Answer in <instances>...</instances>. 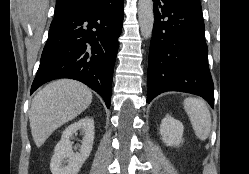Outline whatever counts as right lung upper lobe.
I'll list each match as a JSON object with an SVG mask.
<instances>
[{
    "instance_id": "1",
    "label": "right lung upper lobe",
    "mask_w": 249,
    "mask_h": 174,
    "mask_svg": "<svg viewBox=\"0 0 249 174\" xmlns=\"http://www.w3.org/2000/svg\"><path fill=\"white\" fill-rule=\"evenodd\" d=\"M117 0H57L52 23L61 21L78 13L109 6Z\"/></svg>"
}]
</instances>
